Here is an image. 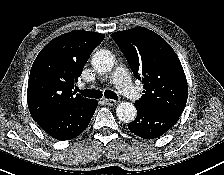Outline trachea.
I'll return each mask as SVG.
<instances>
[{"label":"trachea","mask_w":224,"mask_h":175,"mask_svg":"<svg viewBox=\"0 0 224 175\" xmlns=\"http://www.w3.org/2000/svg\"><path fill=\"white\" fill-rule=\"evenodd\" d=\"M80 92L83 96L89 97V98H102V95H103L102 92L99 90H83ZM104 96L109 99L118 100V96L116 95V93L111 90L105 91Z\"/></svg>","instance_id":"trachea-1"}]
</instances>
